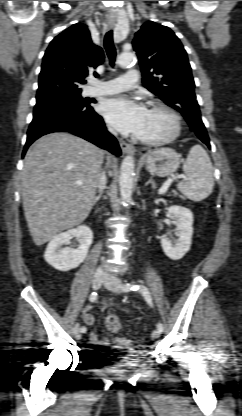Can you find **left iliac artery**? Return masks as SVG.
Masks as SVG:
<instances>
[{
  "mask_svg": "<svg viewBox=\"0 0 242 416\" xmlns=\"http://www.w3.org/2000/svg\"><path fill=\"white\" fill-rule=\"evenodd\" d=\"M120 288L123 291H125V292H129V291H140L143 294V296H144L145 300L147 301V303L150 306L153 305L151 294H150L149 290L145 286H143V285H137V284H131V283H126V284L121 285ZM157 329L160 332H163L164 327H163V325L161 323H158L157 324Z\"/></svg>",
  "mask_w": 242,
  "mask_h": 416,
  "instance_id": "1",
  "label": "left iliac artery"
}]
</instances>
